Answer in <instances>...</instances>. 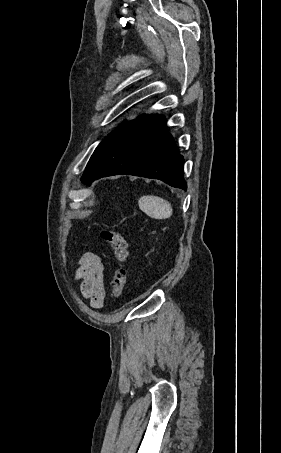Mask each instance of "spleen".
I'll return each instance as SVG.
<instances>
[{
	"mask_svg": "<svg viewBox=\"0 0 281 453\" xmlns=\"http://www.w3.org/2000/svg\"><path fill=\"white\" fill-rule=\"evenodd\" d=\"M138 204L139 208L143 212H146L148 216H152V218H169L173 212V208L168 200H164L160 196H152V194L140 196Z\"/></svg>",
	"mask_w": 281,
	"mask_h": 453,
	"instance_id": "1",
	"label": "spleen"
}]
</instances>
